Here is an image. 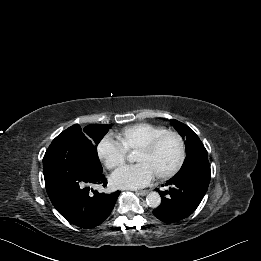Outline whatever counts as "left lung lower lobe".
<instances>
[{
    "label": "left lung lower lobe",
    "mask_w": 261,
    "mask_h": 261,
    "mask_svg": "<svg viewBox=\"0 0 261 261\" xmlns=\"http://www.w3.org/2000/svg\"><path fill=\"white\" fill-rule=\"evenodd\" d=\"M210 182V164L208 160L198 163L190 170L175 175L167 181L169 191L162 195L160 206L153 214L164 223H173L193 213L204 197Z\"/></svg>",
    "instance_id": "obj_1"
}]
</instances>
